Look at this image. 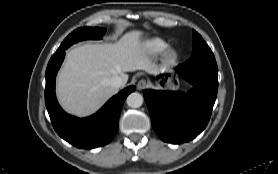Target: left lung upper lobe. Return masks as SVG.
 I'll list each match as a JSON object with an SVG mask.
<instances>
[{"label":"left lung upper lobe","instance_id":"1","mask_svg":"<svg viewBox=\"0 0 278 174\" xmlns=\"http://www.w3.org/2000/svg\"><path fill=\"white\" fill-rule=\"evenodd\" d=\"M198 62L218 70L215 57L202 36L193 30V52L187 63Z\"/></svg>","mask_w":278,"mask_h":174}]
</instances>
